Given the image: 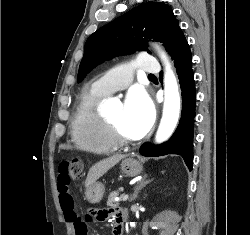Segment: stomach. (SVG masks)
<instances>
[{
    "label": "stomach",
    "mask_w": 250,
    "mask_h": 235,
    "mask_svg": "<svg viewBox=\"0 0 250 235\" xmlns=\"http://www.w3.org/2000/svg\"><path fill=\"white\" fill-rule=\"evenodd\" d=\"M121 170L124 174L129 177H135L139 175L143 166L141 163L133 158H126L121 163ZM104 185L99 182L93 183L86 191V197L92 204L99 203L104 196Z\"/></svg>",
    "instance_id": "1"
}]
</instances>
